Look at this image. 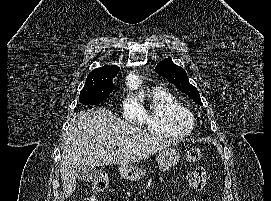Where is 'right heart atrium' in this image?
Instances as JSON below:
<instances>
[{
	"instance_id": "right-heart-atrium-1",
	"label": "right heart atrium",
	"mask_w": 271,
	"mask_h": 201,
	"mask_svg": "<svg viewBox=\"0 0 271 201\" xmlns=\"http://www.w3.org/2000/svg\"><path fill=\"white\" fill-rule=\"evenodd\" d=\"M124 117L133 123H140L144 121V114L138 105V102L131 97L126 98L123 103Z\"/></svg>"
}]
</instances>
